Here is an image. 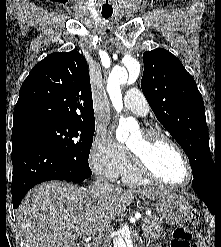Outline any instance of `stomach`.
<instances>
[{
	"label": "stomach",
	"mask_w": 221,
	"mask_h": 247,
	"mask_svg": "<svg viewBox=\"0 0 221 247\" xmlns=\"http://www.w3.org/2000/svg\"><path fill=\"white\" fill-rule=\"evenodd\" d=\"M152 206L156 209L160 220L170 225L180 223L190 212L188 201L177 194L168 193L161 196L154 200Z\"/></svg>",
	"instance_id": "obj_1"
}]
</instances>
